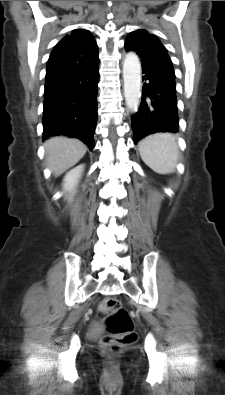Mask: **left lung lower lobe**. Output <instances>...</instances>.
I'll return each mask as SVG.
<instances>
[{
  "instance_id": "0a47b994",
  "label": "left lung lower lobe",
  "mask_w": 225,
  "mask_h": 395,
  "mask_svg": "<svg viewBox=\"0 0 225 395\" xmlns=\"http://www.w3.org/2000/svg\"><path fill=\"white\" fill-rule=\"evenodd\" d=\"M142 101L132 116L135 144L156 132H174L179 127L174 69L142 66Z\"/></svg>"
}]
</instances>
